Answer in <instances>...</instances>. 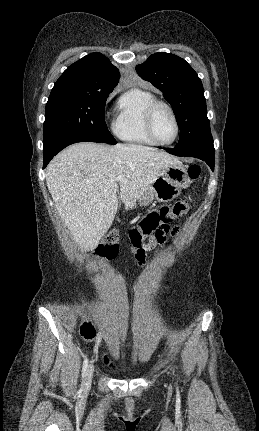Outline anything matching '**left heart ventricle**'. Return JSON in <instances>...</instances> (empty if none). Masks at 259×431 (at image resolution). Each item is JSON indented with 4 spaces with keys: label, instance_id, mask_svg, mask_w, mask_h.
Here are the masks:
<instances>
[{
    "label": "left heart ventricle",
    "instance_id": "1",
    "mask_svg": "<svg viewBox=\"0 0 259 431\" xmlns=\"http://www.w3.org/2000/svg\"><path fill=\"white\" fill-rule=\"evenodd\" d=\"M153 129L156 138L161 142L170 141L175 134V125L170 112L164 108L159 107L153 119Z\"/></svg>",
    "mask_w": 259,
    "mask_h": 431
}]
</instances>
